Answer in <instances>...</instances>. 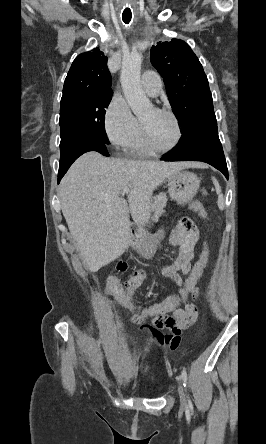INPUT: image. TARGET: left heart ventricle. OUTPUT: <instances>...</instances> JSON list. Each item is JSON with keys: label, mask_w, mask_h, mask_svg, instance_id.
Instances as JSON below:
<instances>
[{"label": "left heart ventricle", "mask_w": 266, "mask_h": 444, "mask_svg": "<svg viewBox=\"0 0 266 444\" xmlns=\"http://www.w3.org/2000/svg\"><path fill=\"white\" fill-rule=\"evenodd\" d=\"M152 142L160 147H169L176 138V127L171 117L157 113L154 109L141 117Z\"/></svg>", "instance_id": "left-heart-ventricle-1"}]
</instances>
